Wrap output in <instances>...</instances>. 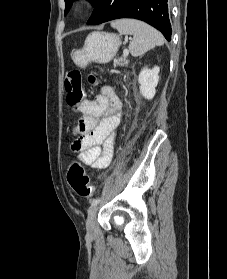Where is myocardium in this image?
<instances>
[{
    "mask_svg": "<svg viewBox=\"0 0 227 279\" xmlns=\"http://www.w3.org/2000/svg\"><path fill=\"white\" fill-rule=\"evenodd\" d=\"M89 6V3L87 0H79L75 7H74V13L75 14H83Z\"/></svg>",
    "mask_w": 227,
    "mask_h": 279,
    "instance_id": "f54148a6",
    "label": "myocardium"
}]
</instances>
